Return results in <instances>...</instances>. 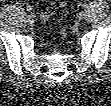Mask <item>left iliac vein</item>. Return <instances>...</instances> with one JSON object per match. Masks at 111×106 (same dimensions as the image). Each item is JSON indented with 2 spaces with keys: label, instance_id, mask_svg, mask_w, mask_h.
<instances>
[{
  "label": "left iliac vein",
  "instance_id": "obj_1",
  "mask_svg": "<svg viewBox=\"0 0 111 106\" xmlns=\"http://www.w3.org/2000/svg\"><path fill=\"white\" fill-rule=\"evenodd\" d=\"M84 18H85V14H84L83 12H80V13L78 14V16H77V19H78L79 21L83 20Z\"/></svg>",
  "mask_w": 111,
  "mask_h": 106
}]
</instances>
